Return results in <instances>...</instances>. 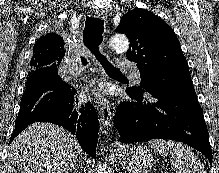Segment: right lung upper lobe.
I'll list each match as a JSON object with an SVG mask.
<instances>
[{"label":"right lung upper lobe","instance_id":"obj_1","mask_svg":"<svg viewBox=\"0 0 219 173\" xmlns=\"http://www.w3.org/2000/svg\"><path fill=\"white\" fill-rule=\"evenodd\" d=\"M65 56L63 38L56 33L41 36L34 45L30 65L59 63Z\"/></svg>","mask_w":219,"mask_h":173}]
</instances>
